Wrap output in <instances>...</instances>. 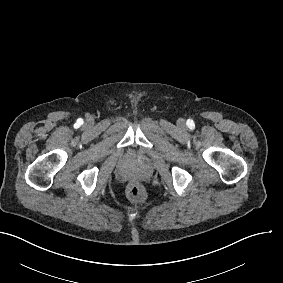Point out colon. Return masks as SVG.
Masks as SVG:
<instances>
[{
	"label": "colon",
	"instance_id": "obj_1",
	"mask_svg": "<svg viewBox=\"0 0 283 283\" xmlns=\"http://www.w3.org/2000/svg\"><path fill=\"white\" fill-rule=\"evenodd\" d=\"M129 194H130L131 199L135 202H141L146 197L144 188L137 183L132 184L129 187Z\"/></svg>",
	"mask_w": 283,
	"mask_h": 283
}]
</instances>
